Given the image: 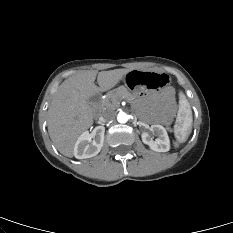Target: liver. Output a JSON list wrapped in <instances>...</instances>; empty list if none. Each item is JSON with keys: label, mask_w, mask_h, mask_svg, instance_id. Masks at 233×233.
<instances>
[{"label": "liver", "mask_w": 233, "mask_h": 233, "mask_svg": "<svg viewBox=\"0 0 233 233\" xmlns=\"http://www.w3.org/2000/svg\"><path fill=\"white\" fill-rule=\"evenodd\" d=\"M130 70L81 71L61 83L48 109V132L58 151L73 157L79 135L93 124L89 98L99 91L115 87ZM97 76L98 85L94 81Z\"/></svg>", "instance_id": "obj_1"}]
</instances>
